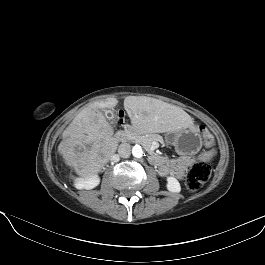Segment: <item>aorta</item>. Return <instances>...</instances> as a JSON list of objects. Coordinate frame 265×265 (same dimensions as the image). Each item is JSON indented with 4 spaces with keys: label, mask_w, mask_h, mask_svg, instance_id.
I'll use <instances>...</instances> for the list:
<instances>
[{
    "label": "aorta",
    "mask_w": 265,
    "mask_h": 265,
    "mask_svg": "<svg viewBox=\"0 0 265 265\" xmlns=\"http://www.w3.org/2000/svg\"><path fill=\"white\" fill-rule=\"evenodd\" d=\"M132 155L135 158H141L143 156V149L140 145H135L132 147Z\"/></svg>",
    "instance_id": "762f6f07"
}]
</instances>
